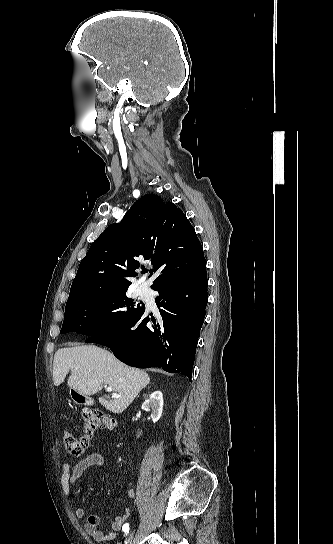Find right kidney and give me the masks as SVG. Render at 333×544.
Returning <instances> with one entry per match:
<instances>
[{
    "instance_id": "ca27d5eb",
    "label": "right kidney",
    "mask_w": 333,
    "mask_h": 544,
    "mask_svg": "<svg viewBox=\"0 0 333 544\" xmlns=\"http://www.w3.org/2000/svg\"><path fill=\"white\" fill-rule=\"evenodd\" d=\"M142 409L145 411L151 410V418L153 423H156L161 415L163 410V395L161 391L153 392L148 399L142 404Z\"/></svg>"
}]
</instances>
